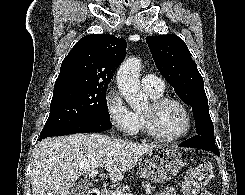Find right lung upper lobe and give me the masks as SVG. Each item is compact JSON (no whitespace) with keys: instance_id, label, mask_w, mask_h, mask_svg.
<instances>
[{"instance_id":"obj_1","label":"right lung upper lobe","mask_w":245,"mask_h":195,"mask_svg":"<svg viewBox=\"0 0 245 195\" xmlns=\"http://www.w3.org/2000/svg\"><path fill=\"white\" fill-rule=\"evenodd\" d=\"M126 41L90 34L80 39L61 64L54 92L75 88H107L126 55Z\"/></svg>"}]
</instances>
